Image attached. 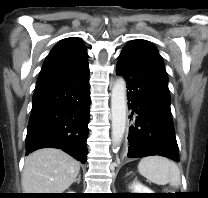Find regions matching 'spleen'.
I'll return each mask as SVG.
<instances>
[{
	"label": "spleen",
	"mask_w": 208,
	"mask_h": 198,
	"mask_svg": "<svg viewBox=\"0 0 208 198\" xmlns=\"http://www.w3.org/2000/svg\"><path fill=\"white\" fill-rule=\"evenodd\" d=\"M139 173L157 185L170 184L179 187L181 175L178 166L169 159L161 156H149L140 160Z\"/></svg>",
	"instance_id": "spleen-1"
}]
</instances>
